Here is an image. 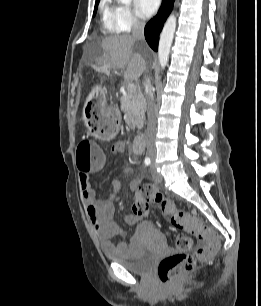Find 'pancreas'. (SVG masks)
<instances>
[{"mask_svg":"<svg viewBox=\"0 0 261 306\" xmlns=\"http://www.w3.org/2000/svg\"><path fill=\"white\" fill-rule=\"evenodd\" d=\"M120 102L121 111L134 119L135 126H142L146 111V102L142 92L140 90L130 91L127 89L126 93L122 95Z\"/></svg>","mask_w":261,"mask_h":306,"instance_id":"obj_1","label":"pancreas"}]
</instances>
